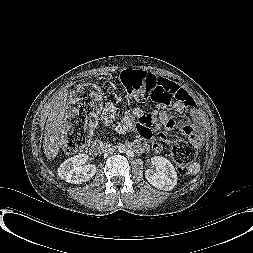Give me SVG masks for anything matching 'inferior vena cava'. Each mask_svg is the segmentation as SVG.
I'll return each mask as SVG.
<instances>
[{
    "label": "inferior vena cava",
    "mask_w": 253,
    "mask_h": 253,
    "mask_svg": "<svg viewBox=\"0 0 253 253\" xmlns=\"http://www.w3.org/2000/svg\"><path fill=\"white\" fill-rule=\"evenodd\" d=\"M107 154H108L109 156H112V155L114 154V151H113L112 149H109V150L107 151Z\"/></svg>",
    "instance_id": "1"
}]
</instances>
